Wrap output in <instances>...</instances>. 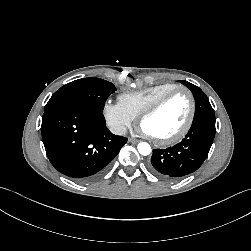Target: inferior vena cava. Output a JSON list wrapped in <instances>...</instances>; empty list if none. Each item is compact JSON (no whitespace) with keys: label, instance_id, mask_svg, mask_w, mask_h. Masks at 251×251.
<instances>
[{"label":"inferior vena cava","instance_id":"obj_1","mask_svg":"<svg viewBox=\"0 0 251 251\" xmlns=\"http://www.w3.org/2000/svg\"><path fill=\"white\" fill-rule=\"evenodd\" d=\"M111 132L115 135H120L123 136L127 133V129L125 126L122 125H116V126H112L110 128Z\"/></svg>","mask_w":251,"mask_h":251}]
</instances>
